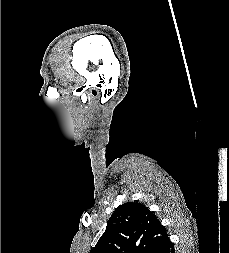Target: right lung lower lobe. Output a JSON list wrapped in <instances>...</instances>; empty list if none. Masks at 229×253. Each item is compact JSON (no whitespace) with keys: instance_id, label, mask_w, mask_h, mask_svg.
Returning a JSON list of instances; mask_svg holds the SVG:
<instances>
[{"instance_id":"obj_1","label":"right lung lower lobe","mask_w":229,"mask_h":253,"mask_svg":"<svg viewBox=\"0 0 229 253\" xmlns=\"http://www.w3.org/2000/svg\"><path fill=\"white\" fill-rule=\"evenodd\" d=\"M158 253H175L172 242L170 241L169 243H167L163 248L159 250Z\"/></svg>"}]
</instances>
